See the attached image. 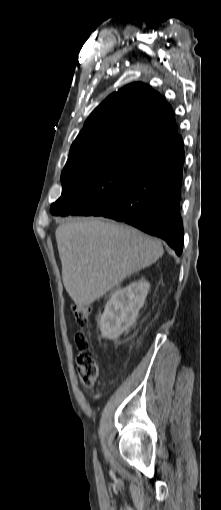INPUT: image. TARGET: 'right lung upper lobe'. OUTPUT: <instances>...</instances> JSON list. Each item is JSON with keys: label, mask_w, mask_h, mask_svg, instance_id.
Instances as JSON below:
<instances>
[{"label": "right lung upper lobe", "mask_w": 221, "mask_h": 510, "mask_svg": "<svg viewBox=\"0 0 221 510\" xmlns=\"http://www.w3.org/2000/svg\"><path fill=\"white\" fill-rule=\"evenodd\" d=\"M171 106L149 86L136 82L107 97L86 120L68 160L135 146L152 151L174 138Z\"/></svg>", "instance_id": "1"}]
</instances>
